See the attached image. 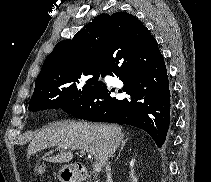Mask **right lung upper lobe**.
<instances>
[{"label": "right lung upper lobe", "mask_w": 211, "mask_h": 182, "mask_svg": "<svg viewBox=\"0 0 211 182\" xmlns=\"http://www.w3.org/2000/svg\"><path fill=\"white\" fill-rule=\"evenodd\" d=\"M150 35L143 23L129 13L101 14L76 33L73 39L56 44L43 63L35 88L101 69L106 55L118 45H127Z\"/></svg>", "instance_id": "1"}]
</instances>
